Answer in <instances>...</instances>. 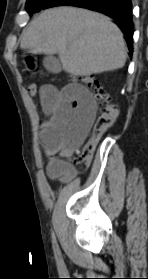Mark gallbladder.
I'll use <instances>...</instances> for the list:
<instances>
[{"mask_svg":"<svg viewBox=\"0 0 148 279\" xmlns=\"http://www.w3.org/2000/svg\"><path fill=\"white\" fill-rule=\"evenodd\" d=\"M43 66L50 73L58 74L61 72V64L53 55L48 54L45 56L43 59Z\"/></svg>","mask_w":148,"mask_h":279,"instance_id":"bac80fb5","label":"gallbladder"}]
</instances>
